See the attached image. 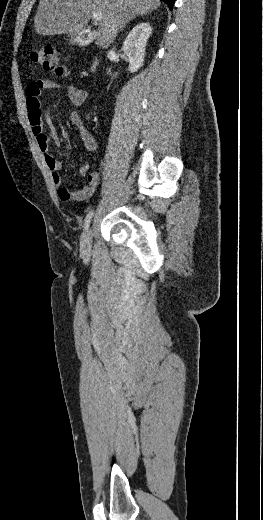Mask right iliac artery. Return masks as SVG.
I'll return each mask as SVG.
<instances>
[{"mask_svg": "<svg viewBox=\"0 0 263 520\" xmlns=\"http://www.w3.org/2000/svg\"><path fill=\"white\" fill-rule=\"evenodd\" d=\"M92 216H93V211L91 210V211L87 214L86 219H85V223H84V229H85V231H87L88 228H89V225H90V222H91V218H92Z\"/></svg>", "mask_w": 263, "mask_h": 520, "instance_id": "1", "label": "right iliac artery"}]
</instances>
